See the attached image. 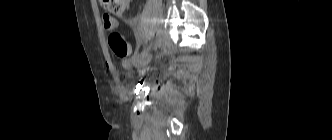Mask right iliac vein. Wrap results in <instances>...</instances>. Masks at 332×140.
<instances>
[{
    "instance_id": "obj_1",
    "label": "right iliac vein",
    "mask_w": 332,
    "mask_h": 140,
    "mask_svg": "<svg viewBox=\"0 0 332 140\" xmlns=\"http://www.w3.org/2000/svg\"><path fill=\"white\" fill-rule=\"evenodd\" d=\"M151 46H152V43H150L148 45V47L142 52L140 57L135 62L136 67H138V68L139 67H144L150 62V59H151V54H150Z\"/></svg>"
}]
</instances>
